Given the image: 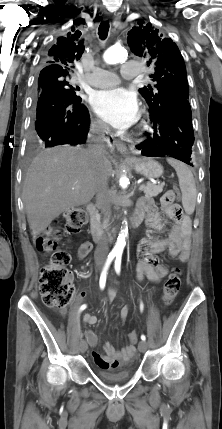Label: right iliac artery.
Returning a JSON list of instances; mask_svg holds the SVG:
<instances>
[{
    "label": "right iliac artery",
    "instance_id": "1",
    "mask_svg": "<svg viewBox=\"0 0 222 429\" xmlns=\"http://www.w3.org/2000/svg\"><path fill=\"white\" fill-rule=\"evenodd\" d=\"M114 257H115V255H114V254H109V255H108V258H107V260H106V262H105V265H104V267H103L102 273H101V275H100V280H99V285H100V288H101V289H103V288L105 287V284H106V277H107V271H108V269H109V267H110V264H111V262L113 261ZM86 307H87V306H86L85 304H84V305H82V306L80 307L79 311H80V312H81V311H83Z\"/></svg>",
    "mask_w": 222,
    "mask_h": 429
}]
</instances>
